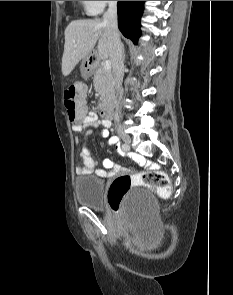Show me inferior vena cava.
Segmentation results:
<instances>
[{"instance_id": "602c4592", "label": "inferior vena cava", "mask_w": 233, "mask_h": 295, "mask_svg": "<svg viewBox=\"0 0 233 295\" xmlns=\"http://www.w3.org/2000/svg\"><path fill=\"white\" fill-rule=\"evenodd\" d=\"M109 35V53L113 70V87L117 94L122 85L124 58L117 25V1H108V10L103 15Z\"/></svg>"}]
</instances>
